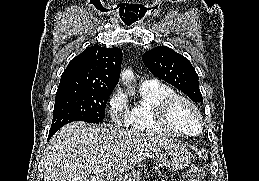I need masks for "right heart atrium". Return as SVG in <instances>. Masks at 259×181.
I'll list each match as a JSON object with an SVG mask.
<instances>
[{
    "label": "right heart atrium",
    "instance_id": "d8ad5b80",
    "mask_svg": "<svg viewBox=\"0 0 259 181\" xmlns=\"http://www.w3.org/2000/svg\"><path fill=\"white\" fill-rule=\"evenodd\" d=\"M107 110L111 121L116 126L125 125L128 107L126 97L120 90H116L109 97Z\"/></svg>",
    "mask_w": 259,
    "mask_h": 181
}]
</instances>
